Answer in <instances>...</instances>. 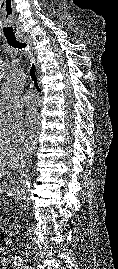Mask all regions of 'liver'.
I'll use <instances>...</instances> for the list:
<instances>
[{
  "mask_svg": "<svg viewBox=\"0 0 118 269\" xmlns=\"http://www.w3.org/2000/svg\"><path fill=\"white\" fill-rule=\"evenodd\" d=\"M25 164L24 155L16 149H0V179L8 169L16 170Z\"/></svg>",
  "mask_w": 118,
  "mask_h": 269,
  "instance_id": "6515ba94",
  "label": "liver"
}]
</instances>
